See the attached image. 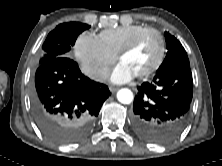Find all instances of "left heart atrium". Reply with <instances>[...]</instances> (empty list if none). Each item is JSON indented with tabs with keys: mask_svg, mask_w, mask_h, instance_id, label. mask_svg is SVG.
<instances>
[{
	"mask_svg": "<svg viewBox=\"0 0 222 166\" xmlns=\"http://www.w3.org/2000/svg\"><path fill=\"white\" fill-rule=\"evenodd\" d=\"M136 74L124 63L120 62L114 67L110 74V80L113 83H125L131 80Z\"/></svg>",
	"mask_w": 222,
	"mask_h": 166,
	"instance_id": "obj_1",
	"label": "left heart atrium"
}]
</instances>
